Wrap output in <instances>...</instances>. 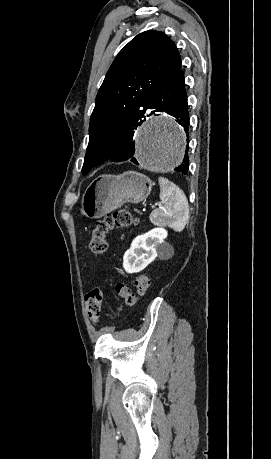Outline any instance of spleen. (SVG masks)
<instances>
[{"instance_id":"1","label":"spleen","mask_w":271,"mask_h":459,"mask_svg":"<svg viewBox=\"0 0 271 459\" xmlns=\"http://www.w3.org/2000/svg\"><path fill=\"white\" fill-rule=\"evenodd\" d=\"M162 208L154 210L152 222L155 226H168L174 231H182L189 220V208L182 190L167 178H158Z\"/></svg>"}]
</instances>
